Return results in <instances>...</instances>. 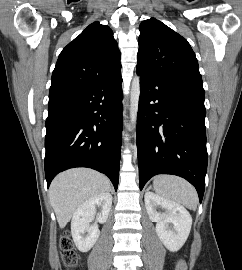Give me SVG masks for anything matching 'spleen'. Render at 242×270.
Wrapping results in <instances>:
<instances>
[{"mask_svg": "<svg viewBox=\"0 0 242 270\" xmlns=\"http://www.w3.org/2000/svg\"><path fill=\"white\" fill-rule=\"evenodd\" d=\"M155 192L164 199L180 203L195 210L198 195L195 188L186 180L172 175H159L153 181Z\"/></svg>", "mask_w": 242, "mask_h": 270, "instance_id": "spleen-1", "label": "spleen"}]
</instances>
